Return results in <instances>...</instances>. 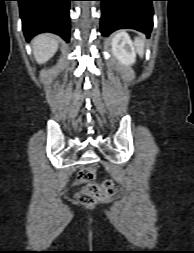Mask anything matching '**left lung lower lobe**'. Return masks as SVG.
<instances>
[{
	"instance_id": "left-lung-lower-lobe-1",
	"label": "left lung lower lobe",
	"mask_w": 194,
	"mask_h": 253,
	"mask_svg": "<svg viewBox=\"0 0 194 253\" xmlns=\"http://www.w3.org/2000/svg\"><path fill=\"white\" fill-rule=\"evenodd\" d=\"M102 2L101 33L108 36L122 28L150 35L153 27L152 2L157 0H99Z\"/></svg>"
}]
</instances>
